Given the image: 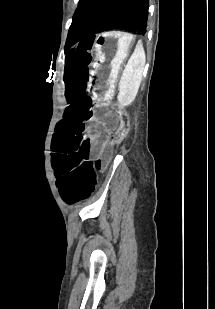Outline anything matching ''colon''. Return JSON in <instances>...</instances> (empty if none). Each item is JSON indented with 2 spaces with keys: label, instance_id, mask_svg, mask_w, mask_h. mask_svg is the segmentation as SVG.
<instances>
[{
  "label": "colon",
  "instance_id": "5ec220e1",
  "mask_svg": "<svg viewBox=\"0 0 215 309\" xmlns=\"http://www.w3.org/2000/svg\"><path fill=\"white\" fill-rule=\"evenodd\" d=\"M118 112L119 122L117 130L110 136L113 143H120L126 136L128 131V114L118 105H115Z\"/></svg>",
  "mask_w": 215,
  "mask_h": 309
}]
</instances>
